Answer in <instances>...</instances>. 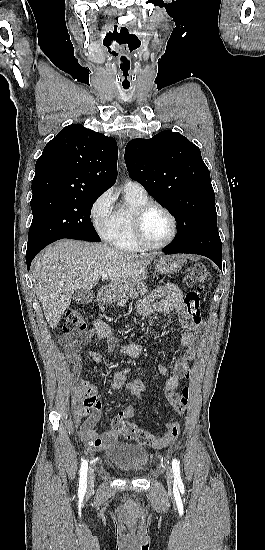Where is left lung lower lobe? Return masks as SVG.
Returning a JSON list of instances; mask_svg holds the SVG:
<instances>
[{
  "label": "left lung lower lobe",
  "instance_id": "obj_1",
  "mask_svg": "<svg viewBox=\"0 0 265 550\" xmlns=\"http://www.w3.org/2000/svg\"><path fill=\"white\" fill-rule=\"evenodd\" d=\"M163 252L165 254L193 253V254L203 255V256H206V257L210 258L213 262H215L218 265V267L220 269H222V256L216 255V254L211 253V252L184 250V249H181V248H178V247L174 246L173 244L168 245L165 248H163Z\"/></svg>",
  "mask_w": 265,
  "mask_h": 550
}]
</instances>
